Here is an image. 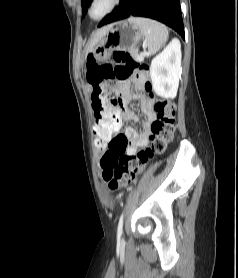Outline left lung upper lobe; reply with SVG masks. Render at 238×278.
I'll list each match as a JSON object with an SVG mask.
<instances>
[{
  "label": "left lung upper lobe",
  "instance_id": "left-lung-upper-lobe-1",
  "mask_svg": "<svg viewBox=\"0 0 238 278\" xmlns=\"http://www.w3.org/2000/svg\"><path fill=\"white\" fill-rule=\"evenodd\" d=\"M90 0H82L81 5H82V14H84L87 10V6Z\"/></svg>",
  "mask_w": 238,
  "mask_h": 278
}]
</instances>
